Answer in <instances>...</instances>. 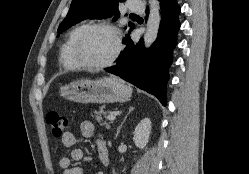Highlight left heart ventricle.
<instances>
[{"label":"left heart ventricle","instance_id":"left-heart-ventricle-1","mask_svg":"<svg viewBox=\"0 0 249 174\" xmlns=\"http://www.w3.org/2000/svg\"><path fill=\"white\" fill-rule=\"evenodd\" d=\"M115 49L113 36L106 30L96 29L88 33L80 46L82 59L91 64L106 61Z\"/></svg>","mask_w":249,"mask_h":174}]
</instances>
